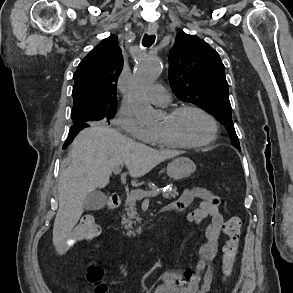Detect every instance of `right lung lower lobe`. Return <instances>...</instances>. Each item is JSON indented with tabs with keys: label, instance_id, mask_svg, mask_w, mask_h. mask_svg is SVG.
<instances>
[{
	"label": "right lung lower lobe",
	"instance_id": "1",
	"mask_svg": "<svg viewBox=\"0 0 293 293\" xmlns=\"http://www.w3.org/2000/svg\"><path fill=\"white\" fill-rule=\"evenodd\" d=\"M90 124L89 123H76L73 124L70 128L69 135L67 140L65 141L63 145V149H65L75 138V136L85 127H88Z\"/></svg>",
	"mask_w": 293,
	"mask_h": 293
}]
</instances>
